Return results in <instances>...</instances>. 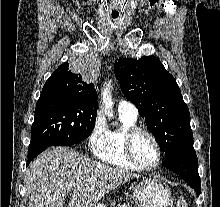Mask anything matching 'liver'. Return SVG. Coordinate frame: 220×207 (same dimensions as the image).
<instances>
[{"label": "liver", "mask_w": 220, "mask_h": 207, "mask_svg": "<svg viewBox=\"0 0 220 207\" xmlns=\"http://www.w3.org/2000/svg\"><path fill=\"white\" fill-rule=\"evenodd\" d=\"M139 175L101 164L64 147L46 150L29 166L25 186L29 207H94L111 190ZM71 183H75L70 187Z\"/></svg>", "instance_id": "obj_1"}]
</instances>
